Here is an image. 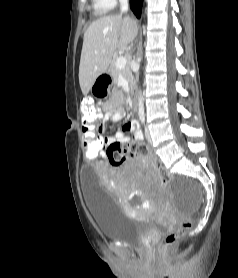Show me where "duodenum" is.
<instances>
[{
    "mask_svg": "<svg viewBox=\"0 0 238 278\" xmlns=\"http://www.w3.org/2000/svg\"><path fill=\"white\" fill-rule=\"evenodd\" d=\"M131 103H132L133 107L136 108V95H135V93H132V95H131Z\"/></svg>",
    "mask_w": 238,
    "mask_h": 278,
    "instance_id": "duodenum-1",
    "label": "duodenum"
}]
</instances>
